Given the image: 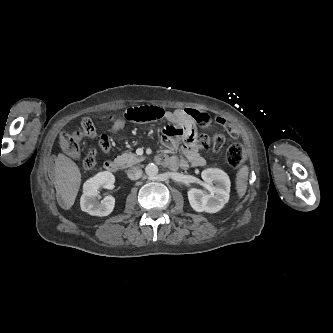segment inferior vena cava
<instances>
[{
  "mask_svg": "<svg viewBox=\"0 0 333 333\" xmlns=\"http://www.w3.org/2000/svg\"><path fill=\"white\" fill-rule=\"evenodd\" d=\"M127 176L131 180H138L142 176V169L139 167H131L127 170Z\"/></svg>",
  "mask_w": 333,
  "mask_h": 333,
  "instance_id": "inferior-vena-cava-1",
  "label": "inferior vena cava"
}]
</instances>
